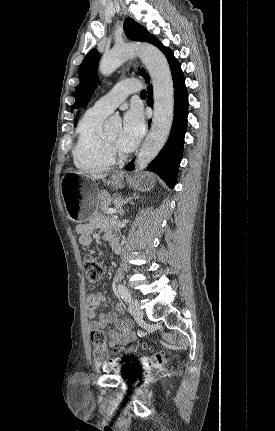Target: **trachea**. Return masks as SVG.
Returning a JSON list of instances; mask_svg holds the SVG:
<instances>
[{"mask_svg": "<svg viewBox=\"0 0 275 431\" xmlns=\"http://www.w3.org/2000/svg\"><path fill=\"white\" fill-rule=\"evenodd\" d=\"M140 96H141V97H146V96H147L146 91H145V90H142V91L140 92Z\"/></svg>", "mask_w": 275, "mask_h": 431, "instance_id": "1", "label": "trachea"}]
</instances>
